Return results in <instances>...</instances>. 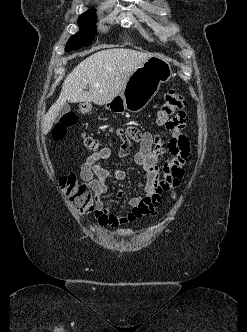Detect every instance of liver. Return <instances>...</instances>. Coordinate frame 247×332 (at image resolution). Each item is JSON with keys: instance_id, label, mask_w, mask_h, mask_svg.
I'll use <instances>...</instances> for the list:
<instances>
[{"instance_id": "obj_1", "label": "liver", "mask_w": 247, "mask_h": 332, "mask_svg": "<svg viewBox=\"0 0 247 332\" xmlns=\"http://www.w3.org/2000/svg\"><path fill=\"white\" fill-rule=\"evenodd\" d=\"M153 55L126 48L105 49L92 54L67 75L57 101L44 117L42 133L47 134L66 102L104 105L120 94L131 74ZM95 84H99L96 87ZM89 85V91H84Z\"/></svg>"}]
</instances>
